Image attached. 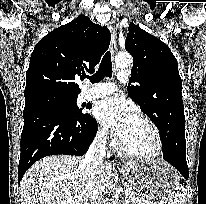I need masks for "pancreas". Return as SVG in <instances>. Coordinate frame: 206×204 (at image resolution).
I'll list each match as a JSON object with an SVG mask.
<instances>
[{
	"instance_id": "pancreas-1",
	"label": "pancreas",
	"mask_w": 206,
	"mask_h": 204,
	"mask_svg": "<svg viewBox=\"0 0 206 204\" xmlns=\"http://www.w3.org/2000/svg\"><path fill=\"white\" fill-rule=\"evenodd\" d=\"M127 189L130 190V193L126 196V204H153L142 199L137 193H135L132 187L127 186Z\"/></svg>"
}]
</instances>
